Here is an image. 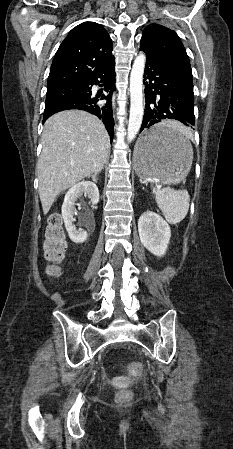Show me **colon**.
<instances>
[{
  "instance_id": "1",
  "label": "colon",
  "mask_w": 233,
  "mask_h": 449,
  "mask_svg": "<svg viewBox=\"0 0 233 449\" xmlns=\"http://www.w3.org/2000/svg\"><path fill=\"white\" fill-rule=\"evenodd\" d=\"M44 247L46 257L52 263L50 272L56 273L57 268L55 264L62 259L65 251L64 234L60 227L59 219L56 217L51 218L50 220ZM129 396H130L129 391L125 388H122L118 392L117 400L118 402L122 403L125 402L129 398Z\"/></svg>"
}]
</instances>
